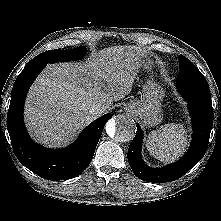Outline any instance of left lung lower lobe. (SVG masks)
Wrapping results in <instances>:
<instances>
[{"mask_svg": "<svg viewBox=\"0 0 221 221\" xmlns=\"http://www.w3.org/2000/svg\"><path fill=\"white\" fill-rule=\"evenodd\" d=\"M176 87L188 102L192 116L193 140L188 152L178 161L163 168H150L142 160L143 134L137 125L136 136L128 149V162L134 174L141 180L165 183L179 179L204 156L213 125V108L209 85L203 80L176 81Z\"/></svg>", "mask_w": 221, "mask_h": 221, "instance_id": "obj_1", "label": "left lung lower lobe"}]
</instances>
